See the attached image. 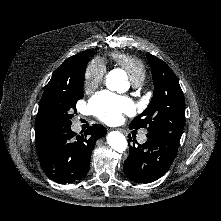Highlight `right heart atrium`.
<instances>
[{"label":"right heart atrium","mask_w":221,"mask_h":221,"mask_svg":"<svg viewBox=\"0 0 221 221\" xmlns=\"http://www.w3.org/2000/svg\"><path fill=\"white\" fill-rule=\"evenodd\" d=\"M105 65L99 59L91 60L83 76V86L86 91L94 90L104 79Z\"/></svg>","instance_id":"obj_1"}]
</instances>
